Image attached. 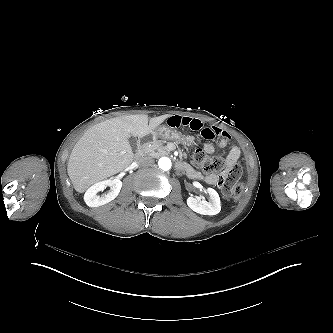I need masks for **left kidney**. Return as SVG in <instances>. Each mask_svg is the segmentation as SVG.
<instances>
[{
    "mask_svg": "<svg viewBox=\"0 0 333 333\" xmlns=\"http://www.w3.org/2000/svg\"><path fill=\"white\" fill-rule=\"evenodd\" d=\"M207 193L210 196V201H203V203H197L193 197L187 199L188 207L194 212L201 215H217L220 210V198L216 190L213 188H208Z\"/></svg>",
    "mask_w": 333,
    "mask_h": 333,
    "instance_id": "obj_1",
    "label": "left kidney"
}]
</instances>
